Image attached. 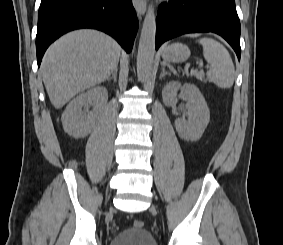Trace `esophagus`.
<instances>
[{"label":"esophagus","mask_w":283,"mask_h":245,"mask_svg":"<svg viewBox=\"0 0 283 245\" xmlns=\"http://www.w3.org/2000/svg\"><path fill=\"white\" fill-rule=\"evenodd\" d=\"M133 6L137 12V14L141 17L146 12V1L145 0H132Z\"/></svg>","instance_id":"34e87169"}]
</instances>
